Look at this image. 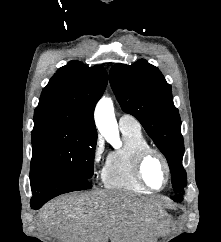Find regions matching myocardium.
<instances>
[{
  "instance_id": "myocardium-1",
  "label": "myocardium",
  "mask_w": 221,
  "mask_h": 242,
  "mask_svg": "<svg viewBox=\"0 0 221 242\" xmlns=\"http://www.w3.org/2000/svg\"><path fill=\"white\" fill-rule=\"evenodd\" d=\"M151 156H157L163 163L165 172H166V181L165 184L161 188H153L148 184L144 177V165L146 161L151 157ZM134 169H135V175L139 182L148 190L150 191H162L167 188L171 181V176H172V171H171V166L170 163L167 159V157L158 149L153 148V147H146L142 150H140L135 158V164H134Z\"/></svg>"
}]
</instances>
